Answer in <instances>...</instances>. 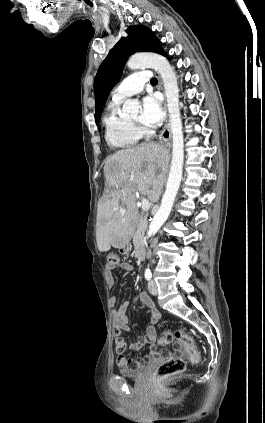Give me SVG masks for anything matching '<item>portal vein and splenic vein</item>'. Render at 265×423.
Segmentation results:
<instances>
[{"label": "portal vein and splenic vein", "mask_w": 265, "mask_h": 423, "mask_svg": "<svg viewBox=\"0 0 265 423\" xmlns=\"http://www.w3.org/2000/svg\"><path fill=\"white\" fill-rule=\"evenodd\" d=\"M141 207H142V210H144V211L149 210V208H150L149 200L146 199V198H143L142 201H141Z\"/></svg>", "instance_id": "obj_1"}]
</instances>
